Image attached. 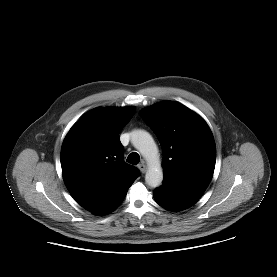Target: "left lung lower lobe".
I'll use <instances>...</instances> for the list:
<instances>
[{"label":"left lung lower lobe","instance_id":"0a47b994","mask_svg":"<svg viewBox=\"0 0 277 277\" xmlns=\"http://www.w3.org/2000/svg\"><path fill=\"white\" fill-rule=\"evenodd\" d=\"M204 192L177 189L163 184L154 191V199L161 207L169 211H180L195 204Z\"/></svg>","mask_w":277,"mask_h":277}]
</instances>
